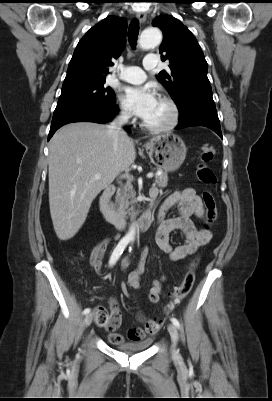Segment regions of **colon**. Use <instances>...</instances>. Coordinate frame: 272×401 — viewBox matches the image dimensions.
I'll return each instance as SVG.
<instances>
[{"instance_id": "obj_1", "label": "colon", "mask_w": 272, "mask_h": 401, "mask_svg": "<svg viewBox=\"0 0 272 401\" xmlns=\"http://www.w3.org/2000/svg\"><path fill=\"white\" fill-rule=\"evenodd\" d=\"M215 155V148L211 145H204L201 147L200 162L197 166V175L199 180L206 186L215 185L217 178L215 172L209 166ZM203 204L205 207V218L208 224H212L217 215L216 201L214 194L210 190H205L202 194ZM194 282V273L188 272L184 277L182 283L171 294L170 300L165 306V314L170 313L181 300L190 292ZM95 320L100 326L107 327L111 324L112 314L106 308H99L95 312ZM152 321V320H149ZM155 323L162 322V319L152 321Z\"/></svg>"}]
</instances>
